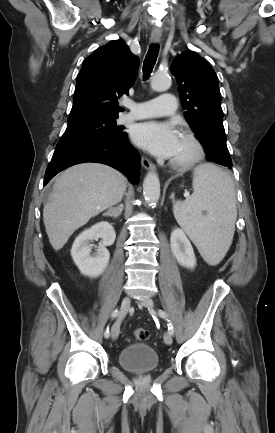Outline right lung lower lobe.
<instances>
[{
  "label": "right lung lower lobe",
  "mask_w": 275,
  "mask_h": 433,
  "mask_svg": "<svg viewBox=\"0 0 275 433\" xmlns=\"http://www.w3.org/2000/svg\"><path fill=\"white\" fill-rule=\"evenodd\" d=\"M84 162L107 164L124 173L131 183L139 182L140 155L127 134L107 141H64L57 144L44 177V186L65 168Z\"/></svg>",
  "instance_id": "obj_1"
}]
</instances>
